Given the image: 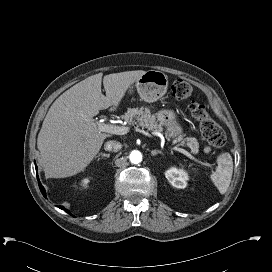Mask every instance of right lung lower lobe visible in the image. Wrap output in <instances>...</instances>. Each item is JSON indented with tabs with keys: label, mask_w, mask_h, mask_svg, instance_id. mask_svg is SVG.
<instances>
[{
	"label": "right lung lower lobe",
	"mask_w": 272,
	"mask_h": 272,
	"mask_svg": "<svg viewBox=\"0 0 272 272\" xmlns=\"http://www.w3.org/2000/svg\"><path fill=\"white\" fill-rule=\"evenodd\" d=\"M36 169H37V166H36ZM37 179L39 180L38 176H37ZM38 184H39V187H40V190H41L43 196L46 197V192H45L44 187L41 185L40 182H38ZM59 208H60V209H64L63 206H59ZM64 210H65L68 214H71V213L69 212V210H67V209H64Z\"/></svg>",
	"instance_id": "98d812e1"
}]
</instances>
